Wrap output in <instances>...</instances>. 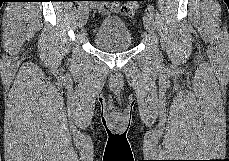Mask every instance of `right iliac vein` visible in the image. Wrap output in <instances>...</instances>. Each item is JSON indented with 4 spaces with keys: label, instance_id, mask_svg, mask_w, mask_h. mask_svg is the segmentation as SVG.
<instances>
[{
    "label": "right iliac vein",
    "instance_id": "63e3f726",
    "mask_svg": "<svg viewBox=\"0 0 229 161\" xmlns=\"http://www.w3.org/2000/svg\"><path fill=\"white\" fill-rule=\"evenodd\" d=\"M89 16V9L86 4H81L79 6L78 17H79V26L82 28L87 23Z\"/></svg>",
    "mask_w": 229,
    "mask_h": 161
}]
</instances>
